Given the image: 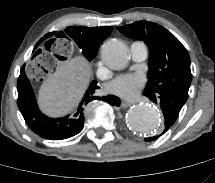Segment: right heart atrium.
Instances as JSON below:
<instances>
[{
    "mask_svg": "<svg viewBox=\"0 0 215 183\" xmlns=\"http://www.w3.org/2000/svg\"><path fill=\"white\" fill-rule=\"evenodd\" d=\"M97 73H98L99 77H101V78H107L108 77L107 73H105L103 71V68L101 66L98 67Z\"/></svg>",
    "mask_w": 215,
    "mask_h": 183,
    "instance_id": "d8ad5b80",
    "label": "right heart atrium"
}]
</instances>
